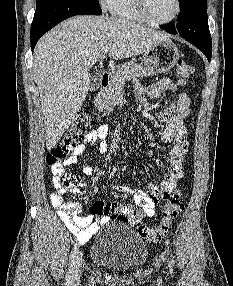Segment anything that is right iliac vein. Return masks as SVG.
I'll use <instances>...</instances> for the list:
<instances>
[{"mask_svg": "<svg viewBox=\"0 0 233 286\" xmlns=\"http://www.w3.org/2000/svg\"><path fill=\"white\" fill-rule=\"evenodd\" d=\"M81 264H82V257L81 255L77 257L76 265L73 270L72 280L73 282H78L81 276Z\"/></svg>", "mask_w": 233, "mask_h": 286, "instance_id": "63e3f726", "label": "right iliac vein"}]
</instances>
